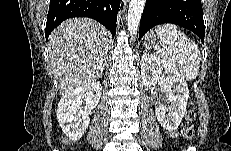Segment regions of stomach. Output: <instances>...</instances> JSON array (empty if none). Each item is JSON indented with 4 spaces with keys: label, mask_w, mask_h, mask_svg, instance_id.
Masks as SVG:
<instances>
[{
    "label": "stomach",
    "mask_w": 231,
    "mask_h": 151,
    "mask_svg": "<svg viewBox=\"0 0 231 151\" xmlns=\"http://www.w3.org/2000/svg\"><path fill=\"white\" fill-rule=\"evenodd\" d=\"M144 45L146 48H154L160 45V38L154 31H150L146 34Z\"/></svg>",
    "instance_id": "0dacf381"
}]
</instances>
